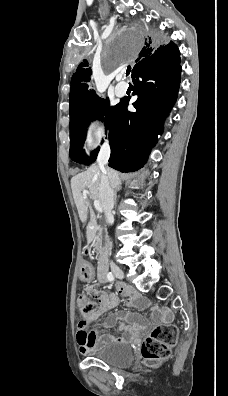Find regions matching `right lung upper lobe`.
Returning a JSON list of instances; mask_svg holds the SVG:
<instances>
[{
  "mask_svg": "<svg viewBox=\"0 0 228 396\" xmlns=\"http://www.w3.org/2000/svg\"><path fill=\"white\" fill-rule=\"evenodd\" d=\"M145 45L142 48L141 52L139 53V58L136 60L138 61L140 58H147L149 57L153 52L154 48L152 46V41L151 38L149 37V40L147 41V38L145 39ZM140 62V61H139ZM137 63L133 70L132 74L135 72L137 67L140 65V63ZM88 61L83 60L81 62L76 70V72L73 74L72 79H71V90H70V107H69V112H70V117L74 116L81 111L85 110L88 108L95 100L98 99L94 91H88L87 84L91 80V74L92 71L88 67Z\"/></svg>",
  "mask_w": 228,
  "mask_h": 396,
  "instance_id": "cb5924a9",
  "label": "right lung upper lobe"
}]
</instances>
